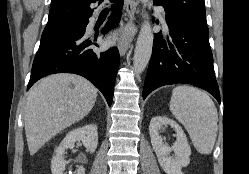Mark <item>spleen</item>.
I'll return each mask as SVG.
<instances>
[{
    "mask_svg": "<svg viewBox=\"0 0 249 174\" xmlns=\"http://www.w3.org/2000/svg\"><path fill=\"white\" fill-rule=\"evenodd\" d=\"M170 110L188 131L196 150L203 155L212 152L218 131V113L207 93L181 85L173 89Z\"/></svg>",
    "mask_w": 249,
    "mask_h": 174,
    "instance_id": "3e777b00",
    "label": "spleen"
}]
</instances>
